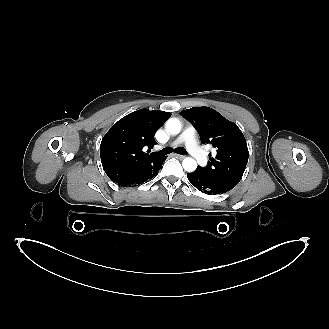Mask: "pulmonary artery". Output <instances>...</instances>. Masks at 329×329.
<instances>
[{"label":"pulmonary artery","mask_w":329,"mask_h":329,"mask_svg":"<svg viewBox=\"0 0 329 329\" xmlns=\"http://www.w3.org/2000/svg\"><path fill=\"white\" fill-rule=\"evenodd\" d=\"M184 143L189 153L196 159L199 165L207 164V155L199 146L196 139V130L194 127H187L181 135L172 143V146H177Z\"/></svg>","instance_id":"pulmonary-artery-1"}]
</instances>
